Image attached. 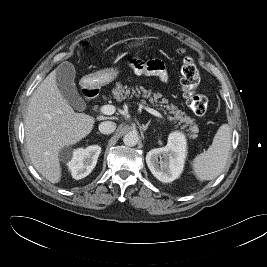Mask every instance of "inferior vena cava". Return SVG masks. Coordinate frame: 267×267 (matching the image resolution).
<instances>
[{"mask_svg":"<svg viewBox=\"0 0 267 267\" xmlns=\"http://www.w3.org/2000/svg\"><path fill=\"white\" fill-rule=\"evenodd\" d=\"M116 129V123L112 121H105L99 124V131L102 134H111Z\"/></svg>","mask_w":267,"mask_h":267,"instance_id":"inferior-vena-cava-1","label":"inferior vena cava"}]
</instances>
